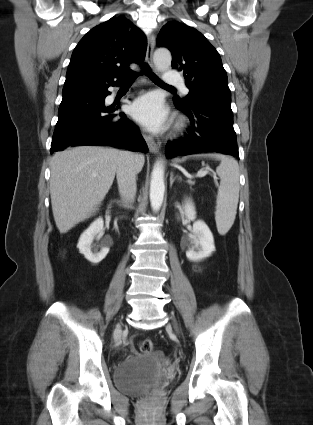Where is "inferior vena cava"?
<instances>
[{"mask_svg":"<svg viewBox=\"0 0 313 425\" xmlns=\"http://www.w3.org/2000/svg\"><path fill=\"white\" fill-rule=\"evenodd\" d=\"M117 182L120 196L126 207L134 202L136 196V165L132 153L121 155L117 165Z\"/></svg>","mask_w":313,"mask_h":425,"instance_id":"obj_1","label":"inferior vena cava"}]
</instances>
